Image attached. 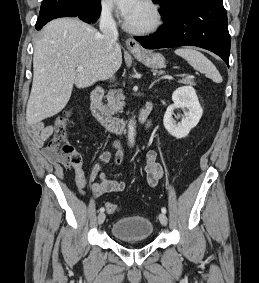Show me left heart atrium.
Returning <instances> with one entry per match:
<instances>
[{
    "instance_id": "obj_1",
    "label": "left heart atrium",
    "mask_w": 259,
    "mask_h": 283,
    "mask_svg": "<svg viewBox=\"0 0 259 283\" xmlns=\"http://www.w3.org/2000/svg\"><path fill=\"white\" fill-rule=\"evenodd\" d=\"M142 0H112L121 15L127 20L136 11Z\"/></svg>"
}]
</instances>
